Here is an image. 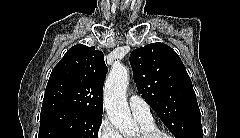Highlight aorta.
<instances>
[{
  "label": "aorta",
  "instance_id": "1",
  "mask_svg": "<svg viewBox=\"0 0 240 138\" xmlns=\"http://www.w3.org/2000/svg\"><path fill=\"white\" fill-rule=\"evenodd\" d=\"M128 69L122 65H113L104 86L103 102L112 125L125 137L131 138L137 132L126 101V89L129 83Z\"/></svg>",
  "mask_w": 240,
  "mask_h": 138
}]
</instances>
